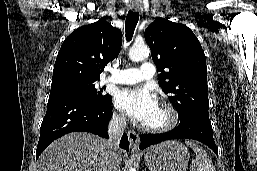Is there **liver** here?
Returning <instances> with one entry per match:
<instances>
[{
    "instance_id": "liver-1",
    "label": "liver",
    "mask_w": 257,
    "mask_h": 171,
    "mask_svg": "<svg viewBox=\"0 0 257 171\" xmlns=\"http://www.w3.org/2000/svg\"><path fill=\"white\" fill-rule=\"evenodd\" d=\"M107 141L86 132L69 133L54 142L41 154L37 171H103ZM116 161L121 164L122 152L117 149Z\"/></svg>"
}]
</instances>
